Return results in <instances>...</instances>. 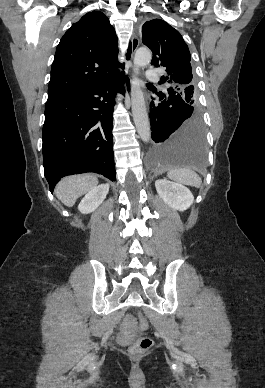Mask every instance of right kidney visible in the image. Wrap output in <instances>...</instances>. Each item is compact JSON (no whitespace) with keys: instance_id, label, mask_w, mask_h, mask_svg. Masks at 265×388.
Instances as JSON below:
<instances>
[{"instance_id":"1","label":"right kidney","mask_w":265,"mask_h":388,"mask_svg":"<svg viewBox=\"0 0 265 388\" xmlns=\"http://www.w3.org/2000/svg\"><path fill=\"white\" fill-rule=\"evenodd\" d=\"M109 192V184H100L97 188H93L91 192H88L81 200L78 210L81 214H91L94 212L102 202H104Z\"/></svg>"}]
</instances>
